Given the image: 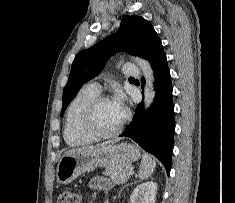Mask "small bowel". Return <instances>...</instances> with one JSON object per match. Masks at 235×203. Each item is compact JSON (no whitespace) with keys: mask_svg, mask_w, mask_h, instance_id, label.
Returning <instances> with one entry per match:
<instances>
[{"mask_svg":"<svg viewBox=\"0 0 235 203\" xmlns=\"http://www.w3.org/2000/svg\"><path fill=\"white\" fill-rule=\"evenodd\" d=\"M89 186L91 189L102 192L105 196L109 194L111 189L110 181L102 176L93 177L89 182Z\"/></svg>","mask_w":235,"mask_h":203,"instance_id":"1","label":"small bowel"}]
</instances>
